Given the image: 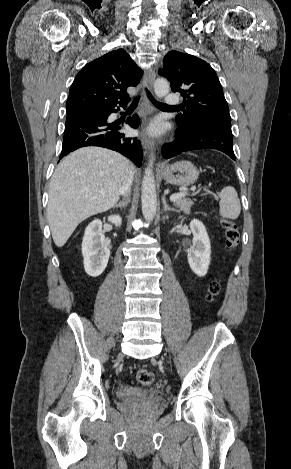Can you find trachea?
I'll use <instances>...</instances> for the list:
<instances>
[{"instance_id": "3493384b", "label": "trachea", "mask_w": 291, "mask_h": 469, "mask_svg": "<svg viewBox=\"0 0 291 469\" xmlns=\"http://www.w3.org/2000/svg\"><path fill=\"white\" fill-rule=\"evenodd\" d=\"M146 92H147L148 98H149V99L151 100V102H152L155 106H157V107H162V108H178V107H179V106H168V105H166V104H164V103H161V102L155 100L154 97L152 96V94H151L148 90H146ZM138 101H139V97H135L134 100H133V102H132L131 105H130V108H135V107H137Z\"/></svg>"}]
</instances>
